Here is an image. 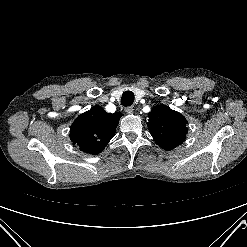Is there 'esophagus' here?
<instances>
[{
    "label": "esophagus",
    "instance_id": "obj_1",
    "mask_svg": "<svg viewBox=\"0 0 247 247\" xmlns=\"http://www.w3.org/2000/svg\"><path fill=\"white\" fill-rule=\"evenodd\" d=\"M125 112H126L127 114H132V113L134 112V109H133L132 106H129V107H126V108H125Z\"/></svg>",
    "mask_w": 247,
    "mask_h": 247
}]
</instances>
